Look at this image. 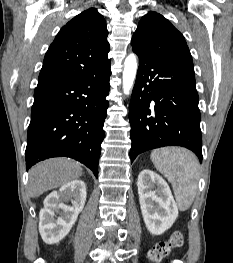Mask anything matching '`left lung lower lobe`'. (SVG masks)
<instances>
[{
  "mask_svg": "<svg viewBox=\"0 0 233 263\" xmlns=\"http://www.w3.org/2000/svg\"><path fill=\"white\" fill-rule=\"evenodd\" d=\"M134 52L139 67L129 112L131 163L138 154L163 146L186 147L202 160L193 64Z\"/></svg>",
  "mask_w": 233,
  "mask_h": 263,
  "instance_id": "obj_1",
  "label": "left lung lower lobe"
}]
</instances>
